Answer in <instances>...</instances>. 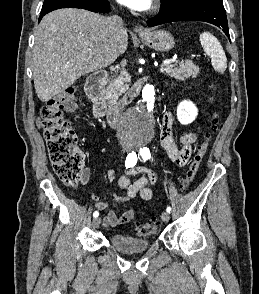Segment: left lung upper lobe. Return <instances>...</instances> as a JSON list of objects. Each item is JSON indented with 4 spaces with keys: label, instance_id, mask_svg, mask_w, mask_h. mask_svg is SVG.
Returning a JSON list of instances; mask_svg holds the SVG:
<instances>
[{
    "label": "left lung upper lobe",
    "instance_id": "obj_1",
    "mask_svg": "<svg viewBox=\"0 0 259 294\" xmlns=\"http://www.w3.org/2000/svg\"><path fill=\"white\" fill-rule=\"evenodd\" d=\"M198 0H161V9L160 13L168 12L182 6L188 5ZM221 1L222 0H216Z\"/></svg>",
    "mask_w": 259,
    "mask_h": 294
}]
</instances>
